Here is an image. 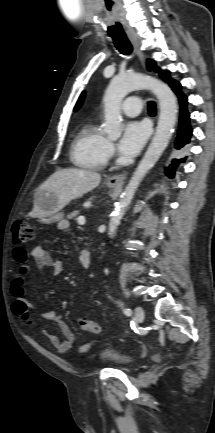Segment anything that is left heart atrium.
<instances>
[{"label": "left heart atrium", "mask_w": 215, "mask_h": 433, "mask_svg": "<svg viewBox=\"0 0 215 433\" xmlns=\"http://www.w3.org/2000/svg\"><path fill=\"white\" fill-rule=\"evenodd\" d=\"M149 135V128L141 121H130L125 124L119 141L120 152L127 157L136 155L145 144Z\"/></svg>", "instance_id": "39dd6f15"}]
</instances>
